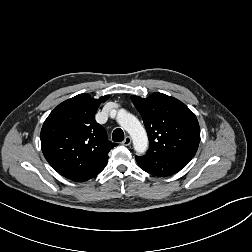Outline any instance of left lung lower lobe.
<instances>
[{"mask_svg":"<svg viewBox=\"0 0 252 252\" xmlns=\"http://www.w3.org/2000/svg\"><path fill=\"white\" fill-rule=\"evenodd\" d=\"M191 159L182 156H158V157H138L136 161L139 167L155 176H170L184 168Z\"/></svg>","mask_w":252,"mask_h":252,"instance_id":"1","label":"left lung lower lobe"}]
</instances>
